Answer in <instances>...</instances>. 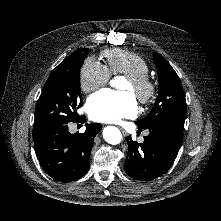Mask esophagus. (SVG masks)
<instances>
[{"mask_svg": "<svg viewBox=\"0 0 221 221\" xmlns=\"http://www.w3.org/2000/svg\"><path fill=\"white\" fill-rule=\"evenodd\" d=\"M119 129L122 131L123 135H126V131L122 128V127H119Z\"/></svg>", "mask_w": 221, "mask_h": 221, "instance_id": "1", "label": "esophagus"}]
</instances>
